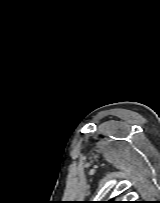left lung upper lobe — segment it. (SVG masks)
I'll return each mask as SVG.
<instances>
[{"label": "left lung upper lobe", "instance_id": "5c2ea615", "mask_svg": "<svg viewBox=\"0 0 160 203\" xmlns=\"http://www.w3.org/2000/svg\"><path fill=\"white\" fill-rule=\"evenodd\" d=\"M104 203H125V202L109 200V201H106V202H104Z\"/></svg>", "mask_w": 160, "mask_h": 203}]
</instances>
